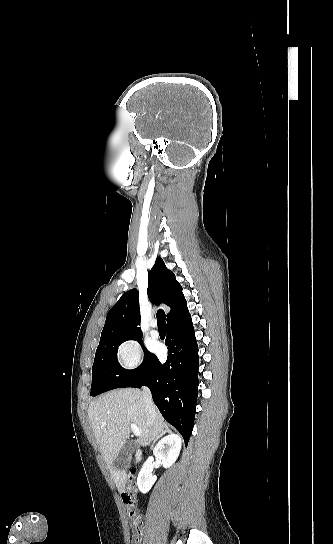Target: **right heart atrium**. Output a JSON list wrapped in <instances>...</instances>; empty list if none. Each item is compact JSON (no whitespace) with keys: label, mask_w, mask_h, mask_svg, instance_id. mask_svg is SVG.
I'll use <instances>...</instances> for the list:
<instances>
[{"label":"right heart atrium","mask_w":333,"mask_h":544,"mask_svg":"<svg viewBox=\"0 0 333 544\" xmlns=\"http://www.w3.org/2000/svg\"><path fill=\"white\" fill-rule=\"evenodd\" d=\"M116 355L123 370H133L141 364L142 349L135 339H126L118 345Z\"/></svg>","instance_id":"d8ad5b80"}]
</instances>
